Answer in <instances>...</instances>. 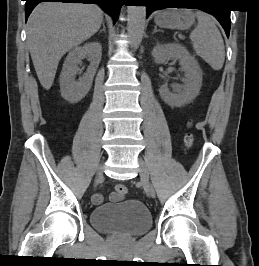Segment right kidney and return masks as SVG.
Wrapping results in <instances>:
<instances>
[{
	"label": "right kidney",
	"instance_id": "obj_1",
	"mask_svg": "<svg viewBox=\"0 0 259 266\" xmlns=\"http://www.w3.org/2000/svg\"><path fill=\"white\" fill-rule=\"evenodd\" d=\"M101 56L102 46L99 42H88L83 46L75 47L69 52L60 74V92L65 100L76 103L87 95L91 89ZM85 57L89 58L90 66L85 75L79 81H75L78 64Z\"/></svg>",
	"mask_w": 259,
	"mask_h": 266
}]
</instances>
